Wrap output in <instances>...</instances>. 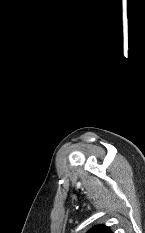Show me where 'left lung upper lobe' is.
Wrapping results in <instances>:
<instances>
[{"mask_svg":"<svg viewBox=\"0 0 145 233\" xmlns=\"http://www.w3.org/2000/svg\"><path fill=\"white\" fill-rule=\"evenodd\" d=\"M87 233H112V232L110 231L109 227H106L104 225H99L93 227Z\"/></svg>","mask_w":145,"mask_h":233,"instance_id":"5c2ea615","label":"left lung upper lobe"}]
</instances>
